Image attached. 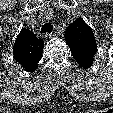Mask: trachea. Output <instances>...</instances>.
Here are the masks:
<instances>
[{
	"mask_svg": "<svg viewBox=\"0 0 113 113\" xmlns=\"http://www.w3.org/2000/svg\"><path fill=\"white\" fill-rule=\"evenodd\" d=\"M53 26L51 23H46L42 26L40 33H48L50 34L52 32Z\"/></svg>",
	"mask_w": 113,
	"mask_h": 113,
	"instance_id": "trachea-1",
	"label": "trachea"
}]
</instances>
